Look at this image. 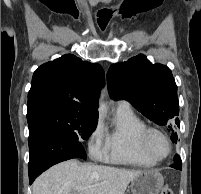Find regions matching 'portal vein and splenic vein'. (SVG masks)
Returning a JSON list of instances; mask_svg holds the SVG:
<instances>
[{"mask_svg":"<svg viewBox=\"0 0 201 194\" xmlns=\"http://www.w3.org/2000/svg\"><path fill=\"white\" fill-rule=\"evenodd\" d=\"M83 189H84L83 186H75V187L73 188V190H74L75 192H80V191H82Z\"/></svg>","mask_w":201,"mask_h":194,"instance_id":"18ae733b","label":"portal vein and splenic vein"}]
</instances>
